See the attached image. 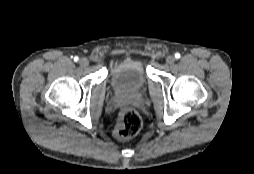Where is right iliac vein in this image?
<instances>
[{
  "mask_svg": "<svg viewBox=\"0 0 254 174\" xmlns=\"http://www.w3.org/2000/svg\"><path fill=\"white\" fill-rule=\"evenodd\" d=\"M79 64L82 66V67H86L89 65V60L85 57L81 58L79 60Z\"/></svg>",
  "mask_w": 254,
  "mask_h": 174,
  "instance_id": "1",
  "label": "right iliac vein"
}]
</instances>
